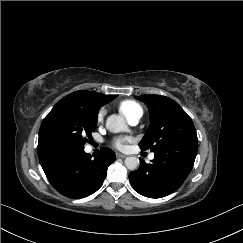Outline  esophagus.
I'll return each instance as SVG.
<instances>
[{
  "label": "esophagus",
  "instance_id": "34e87169",
  "mask_svg": "<svg viewBox=\"0 0 243 243\" xmlns=\"http://www.w3.org/2000/svg\"><path fill=\"white\" fill-rule=\"evenodd\" d=\"M116 157H117V158H125L126 155L121 154V153H116Z\"/></svg>",
  "mask_w": 243,
  "mask_h": 243
}]
</instances>
